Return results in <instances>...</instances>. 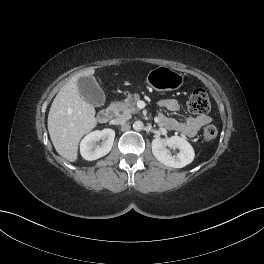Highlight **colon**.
<instances>
[{
	"instance_id": "5ec220e1",
	"label": "colon",
	"mask_w": 264,
	"mask_h": 264,
	"mask_svg": "<svg viewBox=\"0 0 264 264\" xmlns=\"http://www.w3.org/2000/svg\"><path fill=\"white\" fill-rule=\"evenodd\" d=\"M188 109L190 112L199 115H205L210 110V101L204 89H195L188 100ZM217 128L214 125H207L203 128L201 137L204 141H212L217 136Z\"/></svg>"
}]
</instances>
